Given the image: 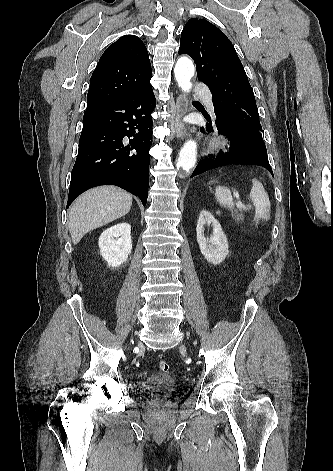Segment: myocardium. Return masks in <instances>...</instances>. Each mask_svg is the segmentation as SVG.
I'll return each instance as SVG.
<instances>
[{"mask_svg": "<svg viewBox=\"0 0 333 471\" xmlns=\"http://www.w3.org/2000/svg\"><path fill=\"white\" fill-rule=\"evenodd\" d=\"M221 144H222L221 141H214V142H213V147H218V146H220Z\"/></svg>", "mask_w": 333, "mask_h": 471, "instance_id": "obj_1", "label": "myocardium"}]
</instances>
